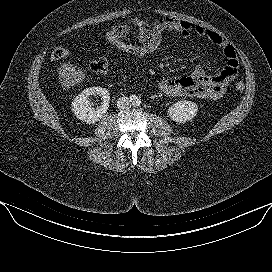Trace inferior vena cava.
<instances>
[{
    "label": "inferior vena cava",
    "instance_id": "1",
    "mask_svg": "<svg viewBox=\"0 0 272 272\" xmlns=\"http://www.w3.org/2000/svg\"><path fill=\"white\" fill-rule=\"evenodd\" d=\"M116 105L119 109L127 110L131 107V101L128 97H120L117 99Z\"/></svg>",
    "mask_w": 272,
    "mask_h": 272
}]
</instances>
